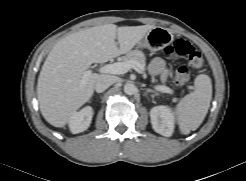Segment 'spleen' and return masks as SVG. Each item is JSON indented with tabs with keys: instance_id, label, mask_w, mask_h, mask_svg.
Masks as SVG:
<instances>
[{
	"instance_id": "1",
	"label": "spleen",
	"mask_w": 246,
	"mask_h": 181,
	"mask_svg": "<svg viewBox=\"0 0 246 181\" xmlns=\"http://www.w3.org/2000/svg\"><path fill=\"white\" fill-rule=\"evenodd\" d=\"M212 99V82L200 74L194 80V91L183 97L175 107V115L182 134L196 130L203 122Z\"/></svg>"
}]
</instances>
